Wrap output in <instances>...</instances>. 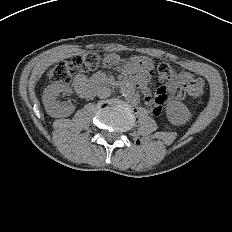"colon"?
<instances>
[{
    "instance_id": "5ec220e1",
    "label": "colon",
    "mask_w": 232,
    "mask_h": 232,
    "mask_svg": "<svg viewBox=\"0 0 232 232\" xmlns=\"http://www.w3.org/2000/svg\"><path fill=\"white\" fill-rule=\"evenodd\" d=\"M100 56L97 53H85L73 57L69 61L58 63L49 73L50 80L54 83H67L75 75H83L96 69L100 63ZM159 80L163 84H169L175 79V70L167 63H159L156 66ZM188 96L197 100L203 92V85L193 81L186 86Z\"/></svg>"
}]
</instances>
